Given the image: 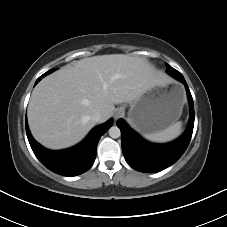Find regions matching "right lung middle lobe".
Returning a JSON list of instances; mask_svg holds the SVG:
<instances>
[{
    "label": "right lung middle lobe",
    "mask_w": 227,
    "mask_h": 227,
    "mask_svg": "<svg viewBox=\"0 0 227 227\" xmlns=\"http://www.w3.org/2000/svg\"><path fill=\"white\" fill-rule=\"evenodd\" d=\"M54 70H55V69H51V70L47 71L46 73L43 74V76H45V75H47V74L53 72Z\"/></svg>",
    "instance_id": "dd1d6c3e"
}]
</instances>
